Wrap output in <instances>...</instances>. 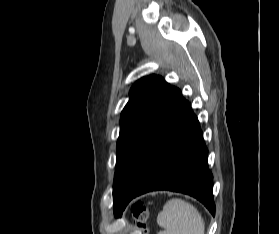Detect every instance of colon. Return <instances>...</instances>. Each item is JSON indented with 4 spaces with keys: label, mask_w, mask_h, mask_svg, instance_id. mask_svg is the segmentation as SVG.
<instances>
[{
    "label": "colon",
    "mask_w": 279,
    "mask_h": 234,
    "mask_svg": "<svg viewBox=\"0 0 279 234\" xmlns=\"http://www.w3.org/2000/svg\"><path fill=\"white\" fill-rule=\"evenodd\" d=\"M131 212L139 228H145L147 218V207L141 201H134L131 205Z\"/></svg>",
    "instance_id": "obj_1"
}]
</instances>
